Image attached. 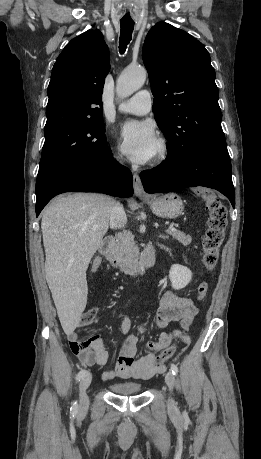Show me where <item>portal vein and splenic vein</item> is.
Wrapping results in <instances>:
<instances>
[{
    "label": "portal vein and splenic vein",
    "instance_id": "obj_1",
    "mask_svg": "<svg viewBox=\"0 0 261 459\" xmlns=\"http://www.w3.org/2000/svg\"><path fill=\"white\" fill-rule=\"evenodd\" d=\"M169 230H171V231H176V229H175L174 227H172V226L169 227Z\"/></svg>",
    "mask_w": 261,
    "mask_h": 459
}]
</instances>
